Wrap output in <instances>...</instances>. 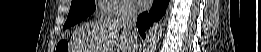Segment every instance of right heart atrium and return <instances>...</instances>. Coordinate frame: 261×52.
<instances>
[{
    "instance_id": "d8ad5b80",
    "label": "right heart atrium",
    "mask_w": 261,
    "mask_h": 52,
    "mask_svg": "<svg viewBox=\"0 0 261 52\" xmlns=\"http://www.w3.org/2000/svg\"><path fill=\"white\" fill-rule=\"evenodd\" d=\"M103 14L107 17L129 18L135 14L133 4L128 0H102Z\"/></svg>"
}]
</instances>
